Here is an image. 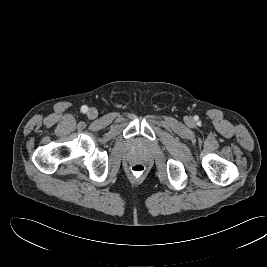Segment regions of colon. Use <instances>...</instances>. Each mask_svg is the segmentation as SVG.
<instances>
[{"mask_svg": "<svg viewBox=\"0 0 267 267\" xmlns=\"http://www.w3.org/2000/svg\"><path fill=\"white\" fill-rule=\"evenodd\" d=\"M144 172H145V166L141 163H134L131 166V173L136 178L143 176Z\"/></svg>", "mask_w": 267, "mask_h": 267, "instance_id": "obj_1", "label": "colon"}]
</instances>
